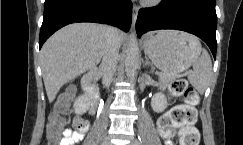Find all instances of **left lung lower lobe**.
Here are the masks:
<instances>
[{"mask_svg":"<svg viewBox=\"0 0 243 145\" xmlns=\"http://www.w3.org/2000/svg\"><path fill=\"white\" fill-rule=\"evenodd\" d=\"M216 26L215 4L198 0H162L158 6L140 9L136 31L138 36L157 29L192 33L206 42L216 58Z\"/></svg>","mask_w":243,"mask_h":145,"instance_id":"1","label":"left lung lower lobe"}]
</instances>
